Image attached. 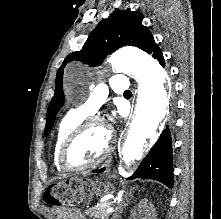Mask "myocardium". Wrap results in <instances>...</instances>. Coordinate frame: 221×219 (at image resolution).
Returning a JSON list of instances; mask_svg holds the SVG:
<instances>
[{
	"mask_svg": "<svg viewBox=\"0 0 221 219\" xmlns=\"http://www.w3.org/2000/svg\"><path fill=\"white\" fill-rule=\"evenodd\" d=\"M93 125H99L102 128L105 129L107 133V144L102 152V154L94 159L93 161L82 164V165H73L69 162L68 159V152L73 143L76 141V139L80 136V134L87 129L90 126ZM115 144V136L113 133L112 128L110 127L109 124L106 123L104 119L98 116H93V117H88L84 119L82 122H80L77 126H75L68 136L65 138L64 142L61 145L60 151H59V163L62 166V168L66 171L70 172H78V171H83L89 168H92L101 162H103L113 151Z\"/></svg>",
	"mask_w": 221,
	"mask_h": 219,
	"instance_id": "f54148a6",
	"label": "myocardium"
}]
</instances>
